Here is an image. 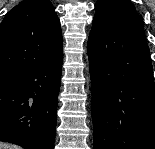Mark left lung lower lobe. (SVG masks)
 Instances as JSON below:
<instances>
[{"instance_id": "1", "label": "left lung lower lobe", "mask_w": 155, "mask_h": 149, "mask_svg": "<svg viewBox=\"0 0 155 149\" xmlns=\"http://www.w3.org/2000/svg\"><path fill=\"white\" fill-rule=\"evenodd\" d=\"M88 57L94 149H155V84L142 20L93 27Z\"/></svg>"}]
</instances>
